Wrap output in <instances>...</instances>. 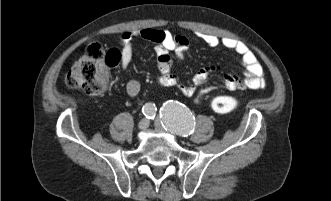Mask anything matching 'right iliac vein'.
<instances>
[{
    "mask_svg": "<svg viewBox=\"0 0 331 201\" xmlns=\"http://www.w3.org/2000/svg\"><path fill=\"white\" fill-rule=\"evenodd\" d=\"M149 120L148 119H142L140 122H139V124H138V127H139V129H141V130H145L146 128H148V126H149Z\"/></svg>",
    "mask_w": 331,
    "mask_h": 201,
    "instance_id": "1",
    "label": "right iliac vein"
}]
</instances>
